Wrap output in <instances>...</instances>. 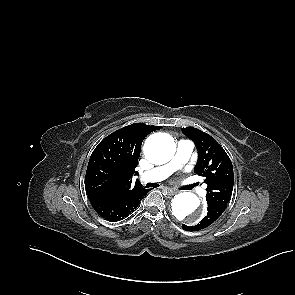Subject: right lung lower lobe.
<instances>
[{"mask_svg":"<svg viewBox=\"0 0 295 295\" xmlns=\"http://www.w3.org/2000/svg\"><path fill=\"white\" fill-rule=\"evenodd\" d=\"M148 190L137 191L125 198L110 200L106 198H89L96 212L109 221H120L129 216L146 196Z\"/></svg>","mask_w":295,"mask_h":295,"instance_id":"right-lung-lower-lobe-1","label":"right lung lower lobe"}]
</instances>
